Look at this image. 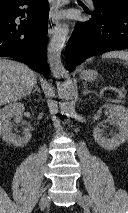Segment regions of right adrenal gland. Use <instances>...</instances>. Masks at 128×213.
<instances>
[{"label": "right adrenal gland", "mask_w": 128, "mask_h": 213, "mask_svg": "<svg viewBox=\"0 0 128 213\" xmlns=\"http://www.w3.org/2000/svg\"><path fill=\"white\" fill-rule=\"evenodd\" d=\"M36 91L39 92V93H41V90H40V88L38 87L37 82H36L35 85H34V90L32 91V93L34 94Z\"/></svg>", "instance_id": "obj_1"}]
</instances>
